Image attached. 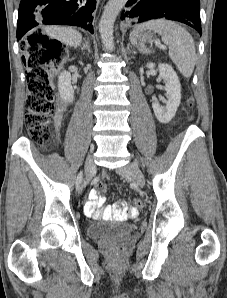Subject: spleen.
I'll return each instance as SVG.
<instances>
[{
	"mask_svg": "<svg viewBox=\"0 0 227 298\" xmlns=\"http://www.w3.org/2000/svg\"><path fill=\"white\" fill-rule=\"evenodd\" d=\"M150 29L162 36V41L169 47V56L184 77H190L195 66V43L190 33L175 22L165 19L151 20L138 25L130 34V40L136 44L135 35ZM142 53L151 50L141 46Z\"/></svg>",
	"mask_w": 227,
	"mask_h": 298,
	"instance_id": "spleen-1",
	"label": "spleen"
}]
</instances>
